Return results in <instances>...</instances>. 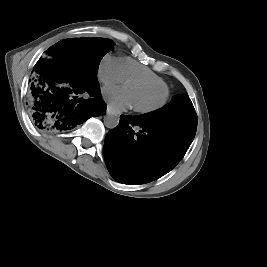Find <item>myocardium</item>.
<instances>
[{
    "instance_id": "obj_1",
    "label": "myocardium",
    "mask_w": 267,
    "mask_h": 267,
    "mask_svg": "<svg viewBox=\"0 0 267 267\" xmlns=\"http://www.w3.org/2000/svg\"><path fill=\"white\" fill-rule=\"evenodd\" d=\"M130 82L148 83L151 86L156 87V88H161L164 91L162 98L156 104L151 105V106H147V107H138V106L133 105L134 111L139 112V113H151V112H154L156 110H159L167 103L168 98H169V89L167 87H165L164 85H162L161 83L152 81V80L144 78V77L128 78L126 80V84H128Z\"/></svg>"
}]
</instances>
